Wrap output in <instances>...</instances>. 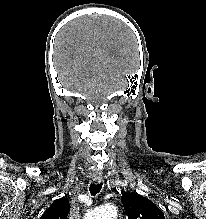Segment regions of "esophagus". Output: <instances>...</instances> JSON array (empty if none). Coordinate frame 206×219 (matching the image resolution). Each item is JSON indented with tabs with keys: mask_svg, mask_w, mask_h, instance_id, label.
Wrapping results in <instances>:
<instances>
[{
	"mask_svg": "<svg viewBox=\"0 0 206 219\" xmlns=\"http://www.w3.org/2000/svg\"><path fill=\"white\" fill-rule=\"evenodd\" d=\"M92 180L94 183H100L103 180V177L101 174H93Z\"/></svg>",
	"mask_w": 206,
	"mask_h": 219,
	"instance_id": "34e87169",
	"label": "esophagus"
}]
</instances>
